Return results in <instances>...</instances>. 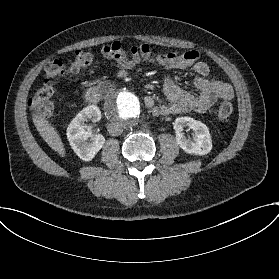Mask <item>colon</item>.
<instances>
[{"label":"colon","instance_id":"1","mask_svg":"<svg viewBox=\"0 0 279 279\" xmlns=\"http://www.w3.org/2000/svg\"><path fill=\"white\" fill-rule=\"evenodd\" d=\"M93 54L86 51L76 53L67 67L60 60L49 61L44 67L46 81H56L67 74H78L85 70L93 61ZM54 88L46 83L39 88L29 99V106L37 115L48 116L54 109ZM233 113V105L230 101H221L217 106L216 116L220 121H227Z\"/></svg>","mask_w":279,"mask_h":279}]
</instances>
